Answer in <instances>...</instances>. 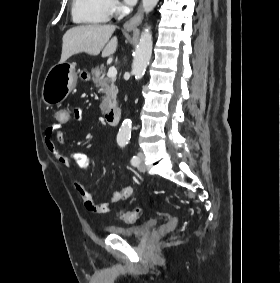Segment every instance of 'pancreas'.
<instances>
[{
  "mask_svg": "<svg viewBox=\"0 0 280 283\" xmlns=\"http://www.w3.org/2000/svg\"><path fill=\"white\" fill-rule=\"evenodd\" d=\"M105 71V67H96L91 70L93 75V83L96 88L99 89V92L103 93V100L100 105L101 111L104 113L111 108L116 107L117 105V94L118 89L115 85L114 78H105L103 72Z\"/></svg>",
  "mask_w": 280,
  "mask_h": 283,
  "instance_id": "1",
  "label": "pancreas"
}]
</instances>
